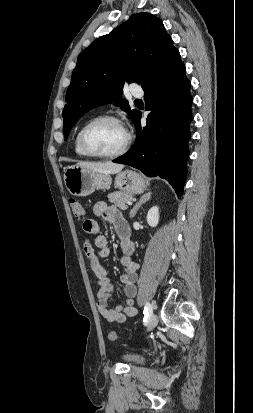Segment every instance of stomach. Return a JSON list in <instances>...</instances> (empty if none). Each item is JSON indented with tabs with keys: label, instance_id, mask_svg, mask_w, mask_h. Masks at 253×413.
<instances>
[{
	"label": "stomach",
	"instance_id": "1",
	"mask_svg": "<svg viewBox=\"0 0 253 413\" xmlns=\"http://www.w3.org/2000/svg\"><path fill=\"white\" fill-rule=\"evenodd\" d=\"M115 186L127 193H143L146 189L144 178L133 170H124L116 174ZM64 184L71 195L88 196L96 189L108 190L112 184L110 174L89 171L77 165L66 168Z\"/></svg>",
	"mask_w": 253,
	"mask_h": 413
}]
</instances>
